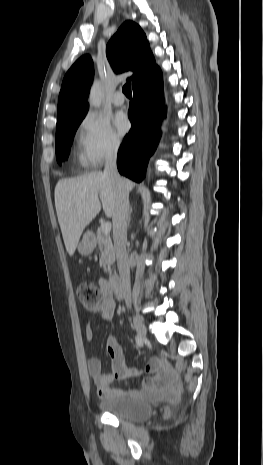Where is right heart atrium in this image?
Returning <instances> with one entry per match:
<instances>
[{
	"label": "right heart atrium",
	"mask_w": 263,
	"mask_h": 465,
	"mask_svg": "<svg viewBox=\"0 0 263 465\" xmlns=\"http://www.w3.org/2000/svg\"><path fill=\"white\" fill-rule=\"evenodd\" d=\"M77 140L80 161L87 168L101 166L118 153L122 144L109 121L94 112H89L81 120Z\"/></svg>",
	"instance_id": "d8ad5b80"
}]
</instances>
